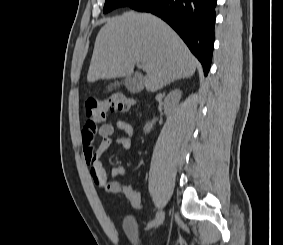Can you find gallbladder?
Instances as JSON below:
<instances>
[{"label":"gallbladder","instance_id":"gallbladder-1","mask_svg":"<svg viewBox=\"0 0 283 245\" xmlns=\"http://www.w3.org/2000/svg\"><path fill=\"white\" fill-rule=\"evenodd\" d=\"M124 84L130 92H134V93L140 92L143 88L142 84L137 80L136 77H129V76L126 77ZM119 85L120 83L118 82L110 84L108 86V91H111L113 87L116 88Z\"/></svg>","mask_w":283,"mask_h":245}]
</instances>
